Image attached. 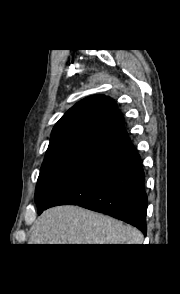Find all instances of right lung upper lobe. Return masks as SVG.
I'll list each match as a JSON object with an SVG mask.
<instances>
[{"label": "right lung upper lobe", "instance_id": "obj_1", "mask_svg": "<svg viewBox=\"0 0 180 294\" xmlns=\"http://www.w3.org/2000/svg\"><path fill=\"white\" fill-rule=\"evenodd\" d=\"M123 126L122 113L110 97L90 96L74 105L56 123L48 148L72 141L101 143Z\"/></svg>", "mask_w": 180, "mask_h": 294}]
</instances>
